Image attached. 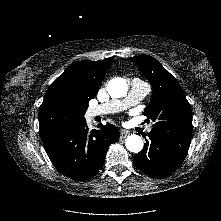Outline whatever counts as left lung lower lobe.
<instances>
[{
    "mask_svg": "<svg viewBox=\"0 0 221 221\" xmlns=\"http://www.w3.org/2000/svg\"><path fill=\"white\" fill-rule=\"evenodd\" d=\"M141 152L133 156L135 165L153 178L173 173L184 161L191 135L152 129Z\"/></svg>",
    "mask_w": 221,
    "mask_h": 221,
    "instance_id": "left-lung-lower-lobe-1",
    "label": "left lung lower lobe"
}]
</instances>
